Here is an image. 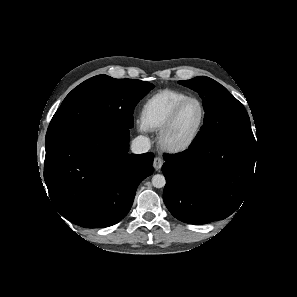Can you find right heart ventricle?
Masks as SVG:
<instances>
[{"label": "right heart ventricle", "mask_w": 297, "mask_h": 297, "mask_svg": "<svg viewBox=\"0 0 297 297\" xmlns=\"http://www.w3.org/2000/svg\"><path fill=\"white\" fill-rule=\"evenodd\" d=\"M189 96L183 92L165 89L150 96L140 111L141 125L148 130H160L174 108Z\"/></svg>", "instance_id": "1"}]
</instances>
